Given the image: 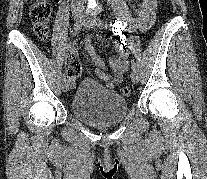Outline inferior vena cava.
<instances>
[{"label":"inferior vena cava","instance_id":"602c4592","mask_svg":"<svg viewBox=\"0 0 207 179\" xmlns=\"http://www.w3.org/2000/svg\"><path fill=\"white\" fill-rule=\"evenodd\" d=\"M72 1H80L81 2V1H84V0H72Z\"/></svg>","mask_w":207,"mask_h":179}]
</instances>
